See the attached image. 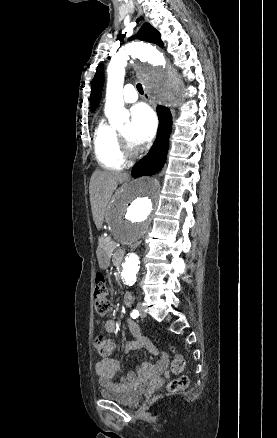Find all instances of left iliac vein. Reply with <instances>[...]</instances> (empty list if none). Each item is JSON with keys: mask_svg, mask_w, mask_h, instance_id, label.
Returning <instances> with one entry per match:
<instances>
[{"mask_svg": "<svg viewBox=\"0 0 277 438\" xmlns=\"http://www.w3.org/2000/svg\"><path fill=\"white\" fill-rule=\"evenodd\" d=\"M137 309H138L139 314H140L141 317H145L146 316L144 308H143V306H142V304L140 302L137 304Z\"/></svg>", "mask_w": 277, "mask_h": 438, "instance_id": "obj_1", "label": "left iliac vein"}]
</instances>
